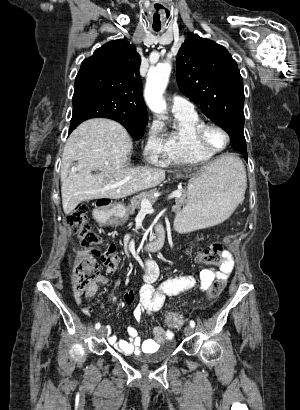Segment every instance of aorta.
I'll list each match as a JSON object with an SVG mask.
<instances>
[{"mask_svg":"<svg viewBox=\"0 0 300 410\" xmlns=\"http://www.w3.org/2000/svg\"><path fill=\"white\" fill-rule=\"evenodd\" d=\"M172 65L166 60L151 69L147 75L144 97L148 107L157 115L165 113L167 106L163 93L167 87Z\"/></svg>","mask_w":300,"mask_h":410,"instance_id":"1","label":"aorta"}]
</instances>
